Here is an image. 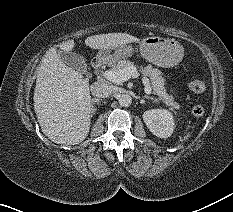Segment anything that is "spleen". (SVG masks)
Instances as JSON below:
<instances>
[{
    "label": "spleen",
    "instance_id": "obj_1",
    "mask_svg": "<svg viewBox=\"0 0 233 212\" xmlns=\"http://www.w3.org/2000/svg\"><path fill=\"white\" fill-rule=\"evenodd\" d=\"M190 133H187L185 136H184V138H180V142H183L184 140H186V139H188L189 137H190Z\"/></svg>",
    "mask_w": 233,
    "mask_h": 212
}]
</instances>
